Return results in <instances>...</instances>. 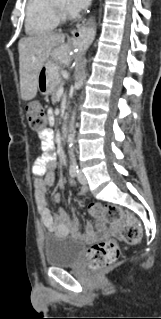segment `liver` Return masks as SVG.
I'll use <instances>...</instances> for the list:
<instances>
[{
  "label": "liver",
  "instance_id": "6515ba94",
  "mask_svg": "<svg viewBox=\"0 0 161 319\" xmlns=\"http://www.w3.org/2000/svg\"><path fill=\"white\" fill-rule=\"evenodd\" d=\"M63 34L44 33L20 39L19 73L20 89L23 100L28 101L36 96L38 88V75L53 49L64 43ZM67 50L65 64L69 63Z\"/></svg>",
  "mask_w": 161,
  "mask_h": 319
}]
</instances>
